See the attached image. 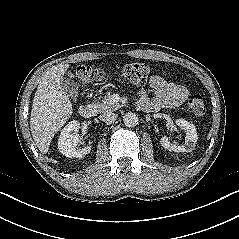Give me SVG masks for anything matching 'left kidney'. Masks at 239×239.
<instances>
[{
    "mask_svg": "<svg viewBox=\"0 0 239 239\" xmlns=\"http://www.w3.org/2000/svg\"><path fill=\"white\" fill-rule=\"evenodd\" d=\"M176 124L186 133L185 143L182 145L173 144L169 141L167 136H164L160 140L161 145L169 151L178 153L191 152L194 150L198 139L195 126L184 119L176 120Z\"/></svg>",
    "mask_w": 239,
    "mask_h": 239,
    "instance_id": "1",
    "label": "left kidney"
}]
</instances>
